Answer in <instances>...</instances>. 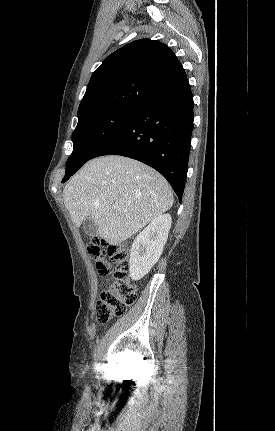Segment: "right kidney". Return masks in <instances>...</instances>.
<instances>
[{
  "mask_svg": "<svg viewBox=\"0 0 275 431\" xmlns=\"http://www.w3.org/2000/svg\"><path fill=\"white\" fill-rule=\"evenodd\" d=\"M172 219L170 214H161L135 238L129 260V273L133 280L143 278L160 258L166 244Z\"/></svg>",
  "mask_w": 275,
  "mask_h": 431,
  "instance_id": "right-kidney-1",
  "label": "right kidney"
}]
</instances>
